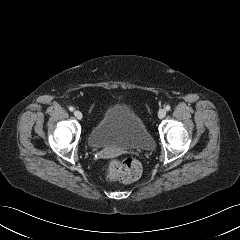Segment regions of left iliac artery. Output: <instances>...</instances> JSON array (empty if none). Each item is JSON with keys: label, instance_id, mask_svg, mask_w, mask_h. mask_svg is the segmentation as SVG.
Listing matches in <instances>:
<instances>
[{"label": "left iliac artery", "instance_id": "obj_1", "mask_svg": "<svg viewBox=\"0 0 240 240\" xmlns=\"http://www.w3.org/2000/svg\"><path fill=\"white\" fill-rule=\"evenodd\" d=\"M165 109H166L167 111H169V110L171 109L170 105H167V106L165 107Z\"/></svg>", "mask_w": 240, "mask_h": 240}]
</instances>
